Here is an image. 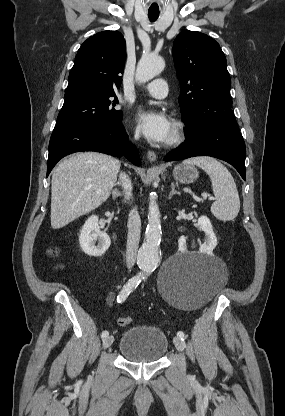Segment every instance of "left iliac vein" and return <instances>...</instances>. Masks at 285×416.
Instances as JSON below:
<instances>
[{
    "mask_svg": "<svg viewBox=\"0 0 285 416\" xmlns=\"http://www.w3.org/2000/svg\"><path fill=\"white\" fill-rule=\"evenodd\" d=\"M173 342L178 351H184L185 342L183 340H181L179 337H174Z\"/></svg>",
    "mask_w": 285,
    "mask_h": 416,
    "instance_id": "1",
    "label": "left iliac vein"
}]
</instances>
